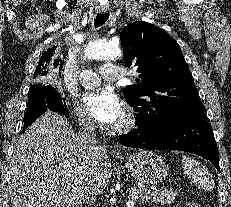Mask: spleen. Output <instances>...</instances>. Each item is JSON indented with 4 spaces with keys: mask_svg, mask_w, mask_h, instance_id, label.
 Masks as SVG:
<instances>
[{
    "mask_svg": "<svg viewBox=\"0 0 231 207\" xmlns=\"http://www.w3.org/2000/svg\"><path fill=\"white\" fill-rule=\"evenodd\" d=\"M182 167L187 177L194 184L204 190H210L214 186V181L209 177L207 169L189 156H182Z\"/></svg>",
    "mask_w": 231,
    "mask_h": 207,
    "instance_id": "3e777b00",
    "label": "spleen"
}]
</instances>
